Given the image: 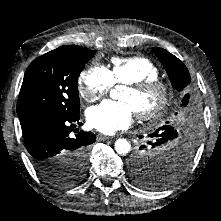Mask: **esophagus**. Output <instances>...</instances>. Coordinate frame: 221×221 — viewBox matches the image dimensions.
Instances as JSON below:
<instances>
[{"label":"esophagus","mask_w":221,"mask_h":221,"mask_svg":"<svg viewBox=\"0 0 221 221\" xmlns=\"http://www.w3.org/2000/svg\"><path fill=\"white\" fill-rule=\"evenodd\" d=\"M98 138H99L100 140H102V141L111 139V137L105 136V135H99Z\"/></svg>","instance_id":"obj_1"}]
</instances>
